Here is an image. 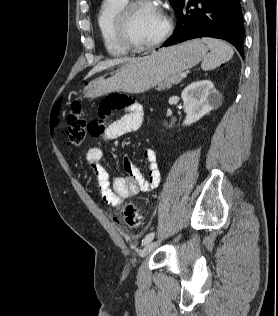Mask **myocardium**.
<instances>
[{"mask_svg":"<svg viewBox=\"0 0 278 316\" xmlns=\"http://www.w3.org/2000/svg\"><path fill=\"white\" fill-rule=\"evenodd\" d=\"M146 4L156 5L162 12L165 19V29L161 35L154 41L149 43L136 42L130 33V19L133 12L140 6ZM173 30V21L171 16L164 10V8L157 4L154 0H130L118 13L116 18V31L120 41L130 50L144 51L155 48L163 43L171 34Z\"/></svg>","mask_w":278,"mask_h":316,"instance_id":"myocardium-1","label":"myocardium"}]
</instances>
